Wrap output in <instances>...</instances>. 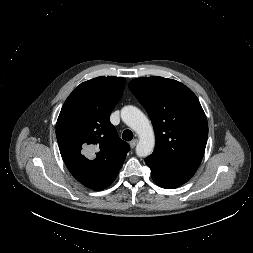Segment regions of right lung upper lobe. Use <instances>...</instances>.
<instances>
[{
	"label": "right lung upper lobe",
	"mask_w": 253,
	"mask_h": 253,
	"mask_svg": "<svg viewBox=\"0 0 253 253\" xmlns=\"http://www.w3.org/2000/svg\"><path fill=\"white\" fill-rule=\"evenodd\" d=\"M123 77H97L81 83L68 96L56 123L61 156L84 186L100 191L116 178L130 150L110 122L125 86ZM86 147L95 155L86 157Z\"/></svg>",
	"instance_id": "right-lung-upper-lobe-1"
}]
</instances>
